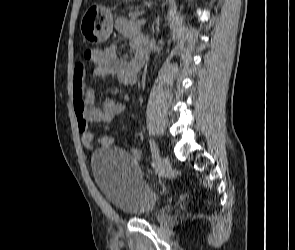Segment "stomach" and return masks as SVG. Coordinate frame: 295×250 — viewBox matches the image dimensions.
<instances>
[{"mask_svg": "<svg viewBox=\"0 0 295 250\" xmlns=\"http://www.w3.org/2000/svg\"><path fill=\"white\" fill-rule=\"evenodd\" d=\"M113 30V16L104 5L93 4L85 11L80 24L84 38L92 42H103Z\"/></svg>", "mask_w": 295, "mask_h": 250, "instance_id": "stomach-1", "label": "stomach"}]
</instances>
